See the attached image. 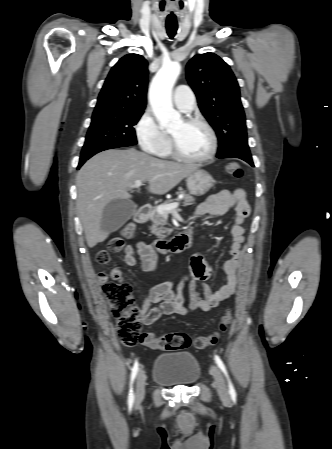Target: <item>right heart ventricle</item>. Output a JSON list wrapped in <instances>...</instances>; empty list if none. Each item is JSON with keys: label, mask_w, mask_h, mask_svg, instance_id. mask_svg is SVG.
Returning <instances> with one entry per match:
<instances>
[{"label": "right heart ventricle", "mask_w": 332, "mask_h": 449, "mask_svg": "<svg viewBox=\"0 0 332 449\" xmlns=\"http://www.w3.org/2000/svg\"><path fill=\"white\" fill-rule=\"evenodd\" d=\"M170 154V147H168L161 155L162 156H167Z\"/></svg>", "instance_id": "obj_1"}]
</instances>
